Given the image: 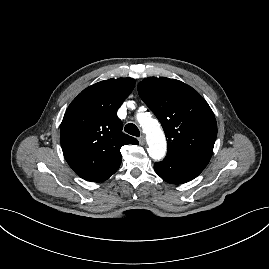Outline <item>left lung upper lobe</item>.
<instances>
[{
  "label": "left lung upper lobe",
  "mask_w": 269,
  "mask_h": 269,
  "mask_svg": "<svg viewBox=\"0 0 269 269\" xmlns=\"http://www.w3.org/2000/svg\"><path fill=\"white\" fill-rule=\"evenodd\" d=\"M138 92L162 124L167 153L211 158L217 123L197 91L175 79L152 77L139 82Z\"/></svg>",
  "instance_id": "5c2ea615"
}]
</instances>
